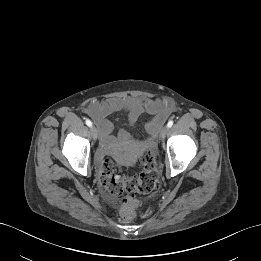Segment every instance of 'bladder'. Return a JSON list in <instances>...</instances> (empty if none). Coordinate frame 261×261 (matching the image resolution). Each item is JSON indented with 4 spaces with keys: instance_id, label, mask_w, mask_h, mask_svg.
Wrapping results in <instances>:
<instances>
[{
    "instance_id": "1",
    "label": "bladder",
    "mask_w": 261,
    "mask_h": 261,
    "mask_svg": "<svg viewBox=\"0 0 261 261\" xmlns=\"http://www.w3.org/2000/svg\"><path fill=\"white\" fill-rule=\"evenodd\" d=\"M129 138L127 136L123 137H118L114 142H113V149L116 152V159L122 163V164H129L132 160L131 156H125L126 152L122 149L121 145L125 141H127ZM138 156V151H136L133 154V158H136Z\"/></svg>"
}]
</instances>
